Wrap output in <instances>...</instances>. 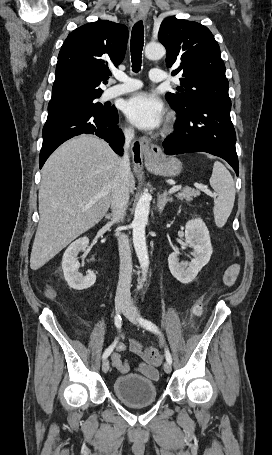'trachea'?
Instances as JSON below:
<instances>
[{"instance_id": "trachea-1", "label": "trachea", "mask_w": 272, "mask_h": 455, "mask_svg": "<svg viewBox=\"0 0 272 455\" xmlns=\"http://www.w3.org/2000/svg\"><path fill=\"white\" fill-rule=\"evenodd\" d=\"M144 45V26L138 21L132 28L131 33V62L132 70L137 73L141 69L142 50Z\"/></svg>"}]
</instances>
